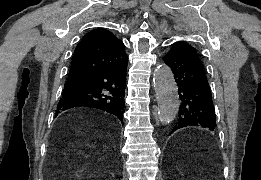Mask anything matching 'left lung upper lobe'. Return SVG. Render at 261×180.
Here are the masks:
<instances>
[{
  "mask_svg": "<svg viewBox=\"0 0 261 180\" xmlns=\"http://www.w3.org/2000/svg\"><path fill=\"white\" fill-rule=\"evenodd\" d=\"M174 44H175V43H174ZM176 44H181V45H183V46L189 48V49L191 50L192 54L196 57V59L200 61L199 56H198L196 50H195L192 46H190V45H188V44H186V43H182V42H178V43H176Z\"/></svg>",
  "mask_w": 261,
  "mask_h": 180,
  "instance_id": "obj_1",
  "label": "left lung upper lobe"
}]
</instances>
